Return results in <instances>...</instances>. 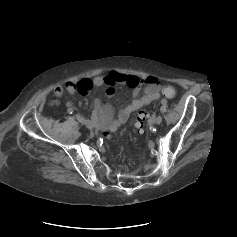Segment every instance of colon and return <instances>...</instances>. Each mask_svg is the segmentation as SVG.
<instances>
[{
    "mask_svg": "<svg viewBox=\"0 0 237 237\" xmlns=\"http://www.w3.org/2000/svg\"><path fill=\"white\" fill-rule=\"evenodd\" d=\"M162 93L167 98H174L176 95V90L170 85H163ZM147 119V113L140 111L135 118V126L139 131H142V127ZM104 136H109L107 133H103Z\"/></svg>",
    "mask_w": 237,
    "mask_h": 237,
    "instance_id": "colon-1",
    "label": "colon"
}]
</instances>
